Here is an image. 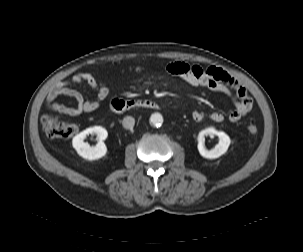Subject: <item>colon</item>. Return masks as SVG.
Instances as JSON below:
<instances>
[{
  "instance_id": "5ec220e1",
  "label": "colon",
  "mask_w": 303,
  "mask_h": 252,
  "mask_svg": "<svg viewBox=\"0 0 303 252\" xmlns=\"http://www.w3.org/2000/svg\"><path fill=\"white\" fill-rule=\"evenodd\" d=\"M140 66H136L139 69ZM42 127L47 137L52 139H65L74 136L78 132L75 124L59 121L52 115H45L42 120ZM247 130L250 135H256L259 131V125L251 121Z\"/></svg>"
}]
</instances>
